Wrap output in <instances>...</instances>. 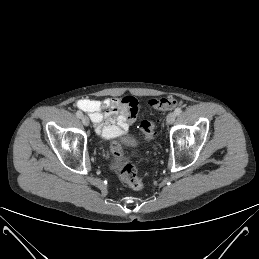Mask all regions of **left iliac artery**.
<instances>
[{
	"label": "left iliac artery",
	"instance_id": "1",
	"mask_svg": "<svg viewBox=\"0 0 259 259\" xmlns=\"http://www.w3.org/2000/svg\"><path fill=\"white\" fill-rule=\"evenodd\" d=\"M181 112H182V110H181L180 107H177V108L175 109V111H174V113H175L176 115H180Z\"/></svg>",
	"mask_w": 259,
	"mask_h": 259
}]
</instances>
